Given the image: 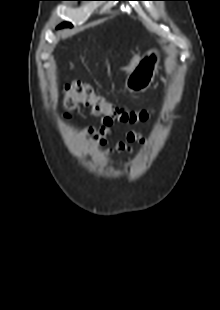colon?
<instances>
[{
	"instance_id": "colon-1",
	"label": "colon",
	"mask_w": 220,
	"mask_h": 310,
	"mask_svg": "<svg viewBox=\"0 0 220 310\" xmlns=\"http://www.w3.org/2000/svg\"><path fill=\"white\" fill-rule=\"evenodd\" d=\"M65 117L71 118V112L82 104L92 109L95 114L102 116L105 126L115 123H137L149 117L147 110H127L109 102L104 96L97 94L89 84L75 81L63 89Z\"/></svg>"
}]
</instances>
